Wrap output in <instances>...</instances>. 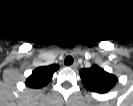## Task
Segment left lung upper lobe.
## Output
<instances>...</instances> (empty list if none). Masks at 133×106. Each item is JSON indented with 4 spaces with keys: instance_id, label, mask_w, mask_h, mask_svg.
Segmentation results:
<instances>
[{
    "instance_id": "1",
    "label": "left lung upper lobe",
    "mask_w": 133,
    "mask_h": 106,
    "mask_svg": "<svg viewBox=\"0 0 133 106\" xmlns=\"http://www.w3.org/2000/svg\"><path fill=\"white\" fill-rule=\"evenodd\" d=\"M80 77L87 90L98 93L108 92L117 82L116 76L107 73L97 65L81 69Z\"/></svg>"
}]
</instances>
